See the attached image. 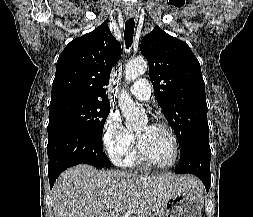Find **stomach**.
<instances>
[{"instance_id":"stomach-1","label":"stomach","mask_w":253,"mask_h":217,"mask_svg":"<svg viewBox=\"0 0 253 217\" xmlns=\"http://www.w3.org/2000/svg\"><path fill=\"white\" fill-rule=\"evenodd\" d=\"M203 203L188 193L173 195L153 217H202Z\"/></svg>"}]
</instances>
